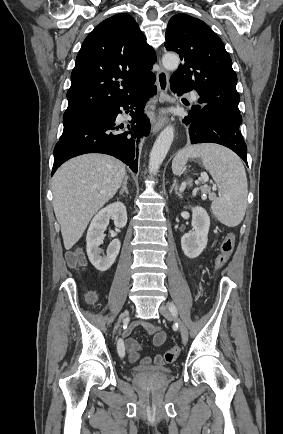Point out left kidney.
Instances as JSON below:
<instances>
[{"mask_svg": "<svg viewBox=\"0 0 283 434\" xmlns=\"http://www.w3.org/2000/svg\"><path fill=\"white\" fill-rule=\"evenodd\" d=\"M193 231L181 238V247L184 254L190 258L198 257L207 246L210 218L207 211L200 207H192Z\"/></svg>", "mask_w": 283, "mask_h": 434, "instance_id": "obj_1", "label": "left kidney"}]
</instances>
